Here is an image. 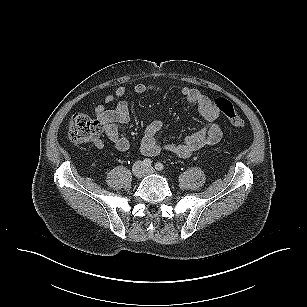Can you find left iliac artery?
<instances>
[{
    "instance_id": "obj_1",
    "label": "left iliac artery",
    "mask_w": 307,
    "mask_h": 307,
    "mask_svg": "<svg viewBox=\"0 0 307 307\" xmlns=\"http://www.w3.org/2000/svg\"><path fill=\"white\" fill-rule=\"evenodd\" d=\"M155 168L159 171L163 170L164 169V165L161 163V162H157L155 164Z\"/></svg>"
}]
</instances>
